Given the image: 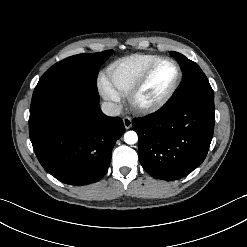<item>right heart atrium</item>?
Listing matches in <instances>:
<instances>
[{"label": "right heart atrium", "instance_id": "1", "mask_svg": "<svg viewBox=\"0 0 247 247\" xmlns=\"http://www.w3.org/2000/svg\"><path fill=\"white\" fill-rule=\"evenodd\" d=\"M97 87L101 95L107 99L114 102L119 100V94L112 87L107 77L103 74L99 75L97 80Z\"/></svg>", "mask_w": 247, "mask_h": 247}]
</instances>
